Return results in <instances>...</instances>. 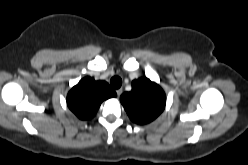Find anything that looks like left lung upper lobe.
Instances as JSON below:
<instances>
[{
  "label": "left lung upper lobe",
  "mask_w": 248,
  "mask_h": 165,
  "mask_svg": "<svg viewBox=\"0 0 248 165\" xmlns=\"http://www.w3.org/2000/svg\"><path fill=\"white\" fill-rule=\"evenodd\" d=\"M120 101L129 118L137 124H147L164 110L166 96L159 85L146 77L132 82V90L121 95Z\"/></svg>",
  "instance_id": "5c2ea615"
}]
</instances>
